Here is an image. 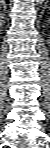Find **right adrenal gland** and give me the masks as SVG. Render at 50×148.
<instances>
[{
    "instance_id": "right-adrenal-gland-1",
    "label": "right adrenal gland",
    "mask_w": 50,
    "mask_h": 148,
    "mask_svg": "<svg viewBox=\"0 0 50 148\" xmlns=\"http://www.w3.org/2000/svg\"><path fill=\"white\" fill-rule=\"evenodd\" d=\"M1 5L3 6L4 10H6V9H7V6H6L5 1H2V2H1Z\"/></svg>"
}]
</instances>
